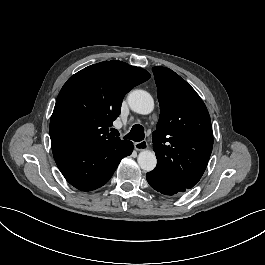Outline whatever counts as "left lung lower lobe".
<instances>
[{
	"instance_id": "1",
	"label": "left lung lower lobe",
	"mask_w": 265,
	"mask_h": 265,
	"mask_svg": "<svg viewBox=\"0 0 265 265\" xmlns=\"http://www.w3.org/2000/svg\"><path fill=\"white\" fill-rule=\"evenodd\" d=\"M146 179L154 190L164 195H175L188 189L180 182L155 169L146 174Z\"/></svg>"
}]
</instances>
